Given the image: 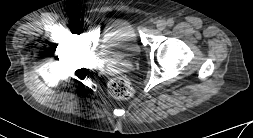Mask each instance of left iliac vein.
<instances>
[{
  "mask_svg": "<svg viewBox=\"0 0 253 138\" xmlns=\"http://www.w3.org/2000/svg\"><path fill=\"white\" fill-rule=\"evenodd\" d=\"M165 27H166V23L164 21H159L157 23L158 30L162 31L163 29H165Z\"/></svg>",
  "mask_w": 253,
  "mask_h": 138,
  "instance_id": "4c4485c4",
  "label": "left iliac vein"
}]
</instances>
